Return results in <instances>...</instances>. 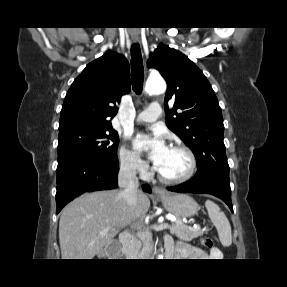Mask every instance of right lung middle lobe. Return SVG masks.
Here are the masks:
<instances>
[{"mask_svg":"<svg viewBox=\"0 0 287 287\" xmlns=\"http://www.w3.org/2000/svg\"><path fill=\"white\" fill-rule=\"evenodd\" d=\"M118 143V133L112 127L76 123L59 128L58 165L78 159L119 165Z\"/></svg>","mask_w":287,"mask_h":287,"instance_id":"right-lung-middle-lobe-1","label":"right lung middle lobe"}]
</instances>
